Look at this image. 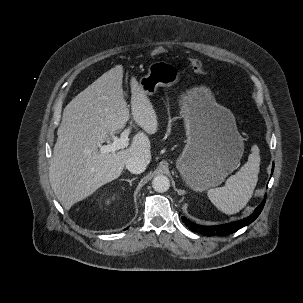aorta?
<instances>
[{
	"mask_svg": "<svg viewBox=\"0 0 303 303\" xmlns=\"http://www.w3.org/2000/svg\"><path fill=\"white\" fill-rule=\"evenodd\" d=\"M152 187L155 191L162 193L169 189L170 181L164 175H157L152 180Z\"/></svg>",
	"mask_w": 303,
	"mask_h": 303,
	"instance_id": "obj_1",
	"label": "aorta"
}]
</instances>
